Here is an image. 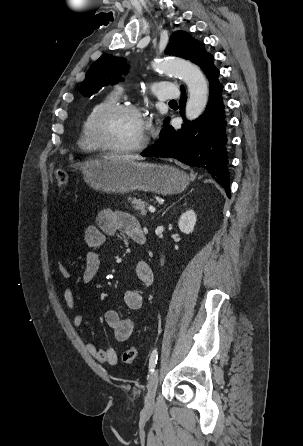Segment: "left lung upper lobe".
Listing matches in <instances>:
<instances>
[{
	"mask_svg": "<svg viewBox=\"0 0 303 446\" xmlns=\"http://www.w3.org/2000/svg\"><path fill=\"white\" fill-rule=\"evenodd\" d=\"M165 53L178 57H183L202 67L204 63L212 56L207 53L204 44L192 38L187 32H174L168 44ZM125 60L116 58L110 54H103L96 60L86 73V77L79 89L84 96H91L106 85L107 79L114 74L112 83L123 80L120 73H125ZM169 119H165V123Z\"/></svg>",
	"mask_w": 303,
	"mask_h": 446,
	"instance_id": "left-lung-upper-lobe-1",
	"label": "left lung upper lobe"
}]
</instances>
